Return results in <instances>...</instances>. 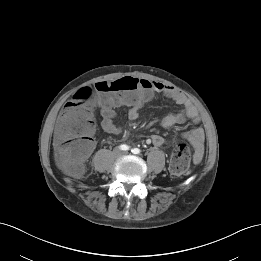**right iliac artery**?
Listing matches in <instances>:
<instances>
[{
	"label": "right iliac artery",
	"instance_id": "1",
	"mask_svg": "<svg viewBox=\"0 0 261 261\" xmlns=\"http://www.w3.org/2000/svg\"><path fill=\"white\" fill-rule=\"evenodd\" d=\"M119 148L123 151H127V150H129L130 147L126 144H122V145L119 146Z\"/></svg>",
	"mask_w": 261,
	"mask_h": 261
}]
</instances>
